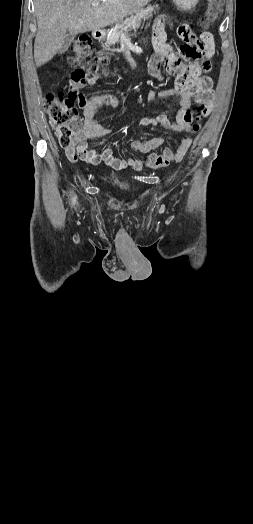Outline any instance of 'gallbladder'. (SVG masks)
<instances>
[{
	"mask_svg": "<svg viewBox=\"0 0 253 524\" xmlns=\"http://www.w3.org/2000/svg\"><path fill=\"white\" fill-rule=\"evenodd\" d=\"M74 39V34L72 33H69L67 34V36L65 37L60 49H59V53H64L65 51H67V49L69 48V45L70 43L72 42V40Z\"/></svg>",
	"mask_w": 253,
	"mask_h": 524,
	"instance_id": "obj_1",
	"label": "gallbladder"
}]
</instances>
